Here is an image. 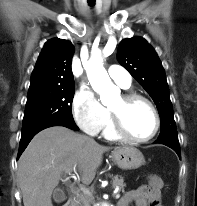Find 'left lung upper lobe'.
Returning <instances> with one entry per match:
<instances>
[{
  "instance_id": "1",
  "label": "left lung upper lobe",
  "mask_w": 197,
  "mask_h": 206,
  "mask_svg": "<svg viewBox=\"0 0 197 206\" xmlns=\"http://www.w3.org/2000/svg\"><path fill=\"white\" fill-rule=\"evenodd\" d=\"M117 59L155 102L161 120L158 139L178 140L165 71L155 50L142 37L126 38L119 44Z\"/></svg>"
}]
</instances>
